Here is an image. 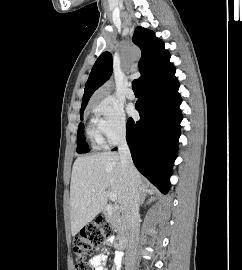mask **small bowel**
<instances>
[{
    "instance_id": "1",
    "label": "small bowel",
    "mask_w": 242,
    "mask_h": 270,
    "mask_svg": "<svg viewBox=\"0 0 242 270\" xmlns=\"http://www.w3.org/2000/svg\"><path fill=\"white\" fill-rule=\"evenodd\" d=\"M113 243L112 239L107 240L106 244L111 245ZM106 262V256L100 255L96 257L93 261L94 266L96 267V270H103V266ZM122 266V254L118 253L116 256V261L114 263L113 269L119 270Z\"/></svg>"
}]
</instances>
